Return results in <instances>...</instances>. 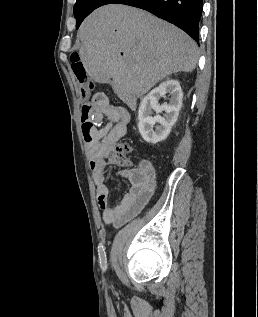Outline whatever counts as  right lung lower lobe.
<instances>
[{
    "instance_id": "1",
    "label": "right lung lower lobe",
    "mask_w": 258,
    "mask_h": 317,
    "mask_svg": "<svg viewBox=\"0 0 258 317\" xmlns=\"http://www.w3.org/2000/svg\"><path fill=\"white\" fill-rule=\"evenodd\" d=\"M125 4L144 9L184 30L199 44L202 0H86L76 18V28L96 8L106 4Z\"/></svg>"
}]
</instances>
